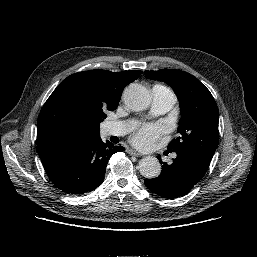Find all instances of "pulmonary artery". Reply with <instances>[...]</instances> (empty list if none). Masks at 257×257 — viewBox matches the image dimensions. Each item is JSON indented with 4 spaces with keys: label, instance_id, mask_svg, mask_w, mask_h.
Wrapping results in <instances>:
<instances>
[{
    "label": "pulmonary artery",
    "instance_id": "pulmonary-artery-1",
    "mask_svg": "<svg viewBox=\"0 0 257 257\" xmlns=\"http://www.w3.org/2000/svg\"><path fill=\"white\" fill-rule=\"evenodd\" d=\"M176 102L175 94L163 85H155L152 88V106L153 115H161L168 112ZM127 122H111L106 125V134L120 136L125 134L129 129Z\"/></svg>",
    "mask_w": 257,
    "mask_h": 257
}]
</instances>
